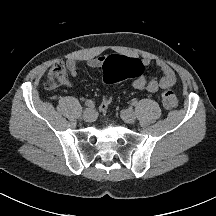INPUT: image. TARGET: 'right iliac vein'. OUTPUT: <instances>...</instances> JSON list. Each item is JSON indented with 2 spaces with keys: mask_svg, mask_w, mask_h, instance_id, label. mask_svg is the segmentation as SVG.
Masks as SVG:
<instances>
[{
  "mask_svg": "<svg viewBox=\"0 0 216 216\" xmlns=\"http://www.w3.org/2000/svg\"><path fill=\"white\" fill-rule=\"evenodd\" d=\"M96 117H97V114H96V111L94 109L87 108L83 112V119L85 121L92 122V121H94L96 119Z\"/></svg>",
  "mask_w": 216,
  "mask_h": 216,
  "instance_id": "obj_1",
  "label": "right iliac vein"
}]
</instances>
